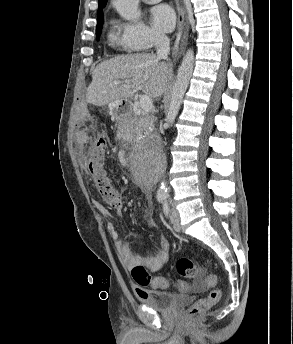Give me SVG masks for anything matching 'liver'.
I'll list each match as a JSON object with an SVG mask.
<instances>
[{
	"label": "liver",
	"instance_id": "obj_1",
	"mask_svg": "<svg viewBox=\"0 0 293 344\" xmlns=\"http://www.w3.org/2000/svg\"><path fill=\"white\" fill-rule=\"evenodd\" d=\"M170 73L168 65L153 53L121 55L103 61L94 69L86 100L104 106L132 98L139 90L158 98L166 90Z\"/></svg>",
	"mask_w": 293,
	"mask_h": 344
}]
</instances>
